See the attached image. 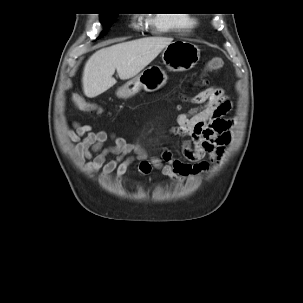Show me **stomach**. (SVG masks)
Returning <instances> with one entry per match:
<instances>
[{
    "label": "stomach",
    "mask_w": 303,
    "mask_h": 303,
    "mask_svg": "<svg viewBox=\"0 0 303 303\" xmlns=\"http://www.w3.org/2000/svg\"><path fill=\"white\" fill-rule=\"evenodd\" d=\"M200 59V49L197 45L176 40L168 44L162 53L163 63L168 69L174 71H187L192 69ZM166 72L159 66H150L133 79L120 87L116 94L119 98H129L141 90L156 91L167 83Z\"/></svg>",
    "instance_id": "1"
}]
</instances>
